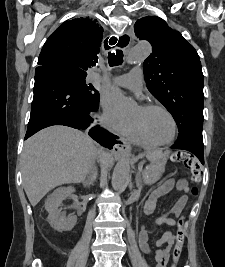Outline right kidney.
I'll return each mask as SVG.
<instances>
[{"label":"right kidney","mask_w":225,"mask_h":267,"mask_svg":"<svg viewBox=\"0 0 225 267\" xmlns=\"http://www.w3.org/2000/svg\"><path fill=\"white\" fill-rule=\"evenodd\" d=\"M74 192L75 188L72 186L57 188L48 196L45 202V208L49 213L48 221L50 225L58 231H70L76 225L77 216L70 215L65 217L59 210L62 201L70 198Z\"/></svg>","instance_id":"ca27d5eb"}]
</instances>
